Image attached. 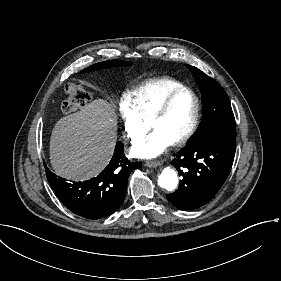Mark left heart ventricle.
<instances>
[{"mask_svg":"<svg viewBox=\"0 0 281 281\" xmlns=\"http://www.w3.org/2000/svg\"><path fill=\"white\" fill-rule=\"evenodd\" d=\"M194 100L189 94L175 99L164 115L156 121L149 131L158 132L170 143L180 138L188 129L194 113Z\"/></svg>","mask_w":281,"mask_h":281,"instance_id":"b2bd125f","label":"left heart ventricle"}]
</instances>
